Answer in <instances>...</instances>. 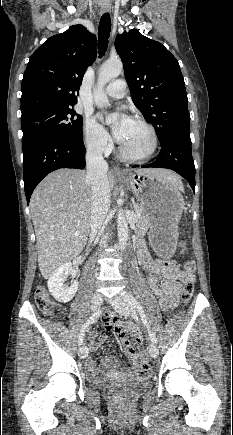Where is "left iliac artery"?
<instances>
[{
  "label": "left iliac artery",
  "mask_w": 233,
  "mask_h": 435,
  "mask_svg": "<svg viewBox=\"0 0 233 435\" xmlns=\"http://www.w3.org/2000/svg\"><path fill=\"white\" fill-rule=\"evenodd\" d=\"M122 298L131 306V307H133V308H136L137 309V311L139 312V315H140V317H141V320H142V322H143V324H144V326L147 328V330H148V333H149V336H150V339H151V341H152V343H154V344H156V342H157V339H156V337H155V335L152 333V331L150 330V327H149V324H148V321H147V317H146V314H145V311H144V309H143V307L141 306V304L132 296V295H130L129 293H127V292H122Z\"/></svg>",
  "instance_id": "1"
}]
</instances>
